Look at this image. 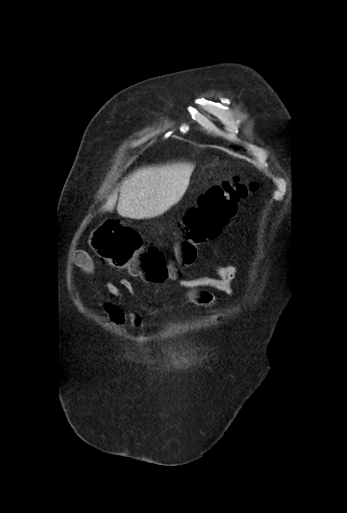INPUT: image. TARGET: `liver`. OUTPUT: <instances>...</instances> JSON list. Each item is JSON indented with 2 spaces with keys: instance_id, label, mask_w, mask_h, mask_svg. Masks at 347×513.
I'll list each match as a JSON object with an SVG mask.
<instances>
[{
  "instance_id": "obj_1",
  "label": "liver",
  "mask_w": 347,
  "mask_h": 513,
  "mask_svg": "<svg viewBox=\"0 0 347 513\" xmlns=\"http://www.w3.org/2000/svg\"><path fill=\"white\" fill-rule=\"evenodd\" d=\"M194 165L167 164L142 168L126 178L120 186L117 212L122 217H153L177 202L186 191ZM119 189L108 198L104 211L113 210Z\"/></svg>"
}]
</instances>
